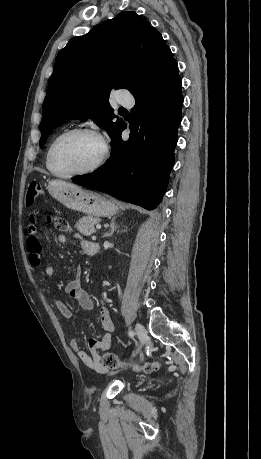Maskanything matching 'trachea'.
I'll return each mask as SVG.
<instances>
[{
	"label": "trachea",
	"mask_w": 261,
	"mask_h": 459,
	"mask_svg": "<svg viewBox=\"0 0 261 459\" xmlns=\"http://www.w3.org/2000/svg\"><path fill=\"white\" fill-rule=\"evenodd\" d=\"M120 110H121V111H125V109H124V108H120Z\"/></svg>",
	"instance_id": "1"
}]
</instances>
